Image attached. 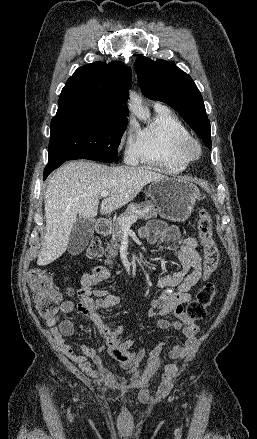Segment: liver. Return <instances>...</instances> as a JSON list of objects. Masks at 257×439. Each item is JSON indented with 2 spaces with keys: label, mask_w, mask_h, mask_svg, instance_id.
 I'll return each instance as SVG.
<instances>
[{
  "label": "liver",
  "mask_w": 257,
  "mask_h": 439,
  "mask_svg": "<svg viewBox=\"0 0 257 439\" xmlns=\"http://www.w3.org/2000/svg\"><path fill=\"white\" fill-rule=\"evenodd\" d=\"M164 177L148 168L86 160L61 166L50 178L44 196L46 232L37 264L48 265L66 251L77 215L93 220L102 191L109 192L100 205V213L107 214L132 201L148 183Z\"/></svg>",
  "instance_id": "1"
}]
</instances>
